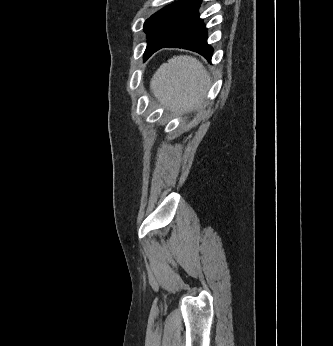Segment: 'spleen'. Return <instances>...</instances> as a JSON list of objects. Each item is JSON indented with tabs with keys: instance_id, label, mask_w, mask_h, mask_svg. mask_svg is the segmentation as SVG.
I'll return each mask as SVG.
<instances>
[{
	"instance_id": "obj_1",
	"label": "spleen",
	"mask_w": 333,
	"mask_h": 346,
	"mask_svg": "<svg viewBox=\"0 0 333 346\" xmlns=\"http://www.w3.org/2000/svg\"><path fill=\"white\" fill-rule=\"evenodd\" d=\"M210 86V76L196 58L177 56L162 64L150 81V89L162 105L173 111L197 108Z\"/></svg>"
}]
</instances>
